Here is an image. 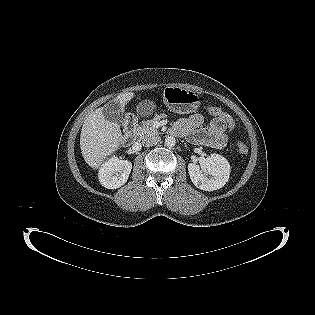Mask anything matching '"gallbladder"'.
Instances as JSON below:
<instances>
[{
	"mask_svg": "<svg viewBox=\"0 0 315 315\" xmlns=\"http://www.w3.org/2000/svg\"><path fill=\"white\" fill-rule=\"evenodd\" d=\"M121 107L117 100H111L107 103L106 107L103 109V115L106 119L112 122L120 123L121 118Z\"/></svg>",
	"mask_w": 315,
	"mask_h": 315,
	"instance_id": "obj_1",
	"label": "gallbladder"
}]
</instances>
